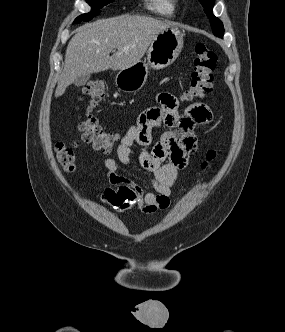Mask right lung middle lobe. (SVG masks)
Segmentation results:
<instances>
[{"label": "right lung middle lobe", "mask_w": 285, "mask_h": 332, "mask_svg": "<svg viewBox=\"0 0 285 332\" xmlns=\"http://www.w3.org/2000/svg\"><path fill=\"white\" fill-rule=\"evenodd\" d=\"M113 1L114 0H86V2L92 7L91 12L77 17L74 23H79L80 21H87L92 19L95 15L99 14L102 7Z\"/></svg>", "instance_id": "right-lung-middle-lobe-1"}]
</instances>
